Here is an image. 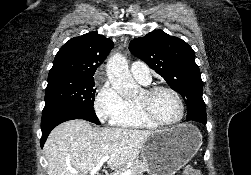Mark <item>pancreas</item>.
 Returning <instances> with one entry per match:
<instances>
[{
  "instance_id": "pancreas-1",
  "label": "pancreas",
  "mask_w": 251,
  "mask_h": 175,
  "mask_svg": "<svg viewBox=\"0 0 251 175\" xmlns=\"http://www.w3.org/2000/svg\"><path fill=\"white\" fill-rule=\"evenodd\" d=\"M130 169V175H143L146 167L143 165V161L141 159H135L132 163H128L125 167H121V169H117L118 173H123V171H127Z\"/></svg>"
}]
</instances>
